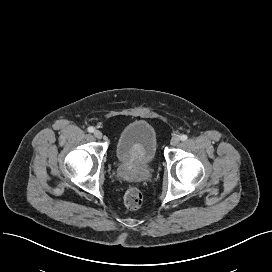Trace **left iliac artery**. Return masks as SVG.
Segmentation results:
<instances>
[{"instance_id":"obj_1","label":"left iliac artery","mask_w":272,"mask_h":272,"mask_svg":"<svg viewBox=\"0 0 272 272\" xmlns=\"http://www.w3.org/2000/svg\"><path fill=\"white\" fill-rule=\"evenodd\" d=\"M187 135H185V134H183V135H181L180 136V139L182 140V141H185V140H187Z\"/></svg>"}]
</instances>
